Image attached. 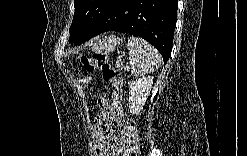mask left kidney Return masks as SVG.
<instances>
[{
	"label": "left kidney",
	"mask_w": 247,
	"mask_h": 156,
	"mask_svg": "<svg viewBox=\"0 0 247 156\" xmlns=\"http://www.w3.org/2000/svg\"><path fill=\"white\" fill-rule=\"evenodd\" d=\"M153 77L147 76L129 83V109L132 114H139L150 94Z\"/></svg>",
	"instance_id": "obj_1"
}]
</instances>
